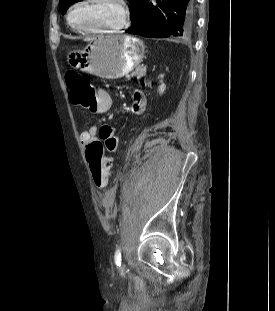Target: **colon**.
I'll return each mask as SVG.
<instances>
[{
  "label": "colon",
  "instance_id": "1",
  "mask_svg": "<svg viewBox=\"0 0 275 311\" xmlns=\"http://www.w3.org/2000/svg\"><path fill=\"white\" fill-rule=\"evenodd\" d=\"M65 80L69 90V99L74 105L86 107L90 101L95 99L93 86L80 74L68 72ZM86 157L95 187L104 188L107 185L112 166V159L105 154L104 145L98 141L92 142L87 147Z\"/></svg>",
  "mask_w": 275,
  "mask_h": 311
}]
</instances>
